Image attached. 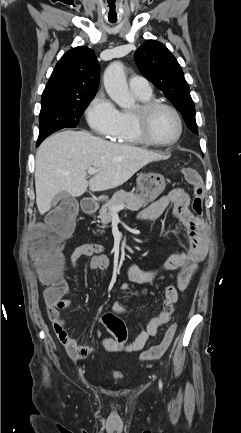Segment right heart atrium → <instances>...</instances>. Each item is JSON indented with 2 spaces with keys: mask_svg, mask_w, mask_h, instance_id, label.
Wrapping results in <instances>:
<instances>
[{
  "mask_svg": "<svg viewBox=\"0 0 241 433\" xmlns=\"http://www.w3.org/2000/svg\"><path fill=\"white\" fill-rule=\"evenodd\" d=\"M90 127L104 137H112L120 123V111L103 94H98L86 110Z\"/></svg>",
  "mask_w": 241,
  "mask_h": 433,
  "instance_id": "1",
  "label": "right heart atrium"
}]
</instances>
